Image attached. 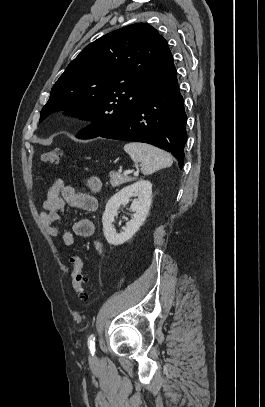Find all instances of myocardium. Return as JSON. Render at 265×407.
<instances>
[{"mask_svg":"<svg viewBox=\"0 0 265 407\" xmlns=\"http://www.w3.org/2000/svg\"><path fill=\"white\" fill-rule=\"evenodd\" d=\"M74 114L77 115V114H78V111H75Z\"/></svg>","mask_w":265,"mask_h":407,"instance_id":"f54148a6","label":"myocardium"}]
</instances>
